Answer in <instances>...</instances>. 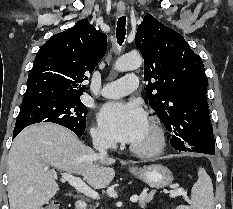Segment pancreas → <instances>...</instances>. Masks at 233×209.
I'll use <instances>...</instances> for the list:
<instances>
[{
  "instance_id": "pancreas-1",
  "label": "pancreas",
  "mask_w": 233,
  "mask_h": 209,
  "mask_svg": "<svg viewBox=\"0 0 233 209\" xmlns=\"http://www.w3.org/2000/svg\"><path fill=\"white\" fill-rule=\"evenodd\" d=\"M154 191L150 192L149 194L146 195H142L139 199V206L141 208H144L146 206L147 203H149L153 196H154ZM96 207H98V205H96L95 207L91 208V209H95Z\"/></svg>"
}]
</instances>
